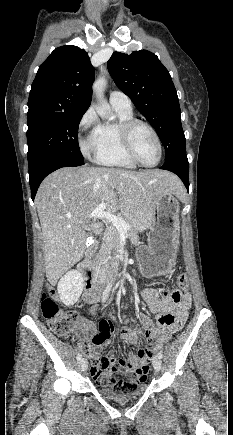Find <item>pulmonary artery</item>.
<instances>
[{"label": "pulmonary artery", "instance_id": "obj_1", "mask_svg": "<svg viewBox=\"0 0 233 435\" xmlns=\"http://www.w3.org/2000/svg\"><path fill=\"white\" fill-rule=\"evenodd\" d=\"M109 101L114 107H119L125 110H132V103L130 98L121 91H112L109 96Z\"/></svg>", "mask_w": 233, "mask_h": 435}]
</instances>
